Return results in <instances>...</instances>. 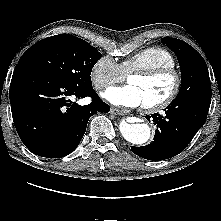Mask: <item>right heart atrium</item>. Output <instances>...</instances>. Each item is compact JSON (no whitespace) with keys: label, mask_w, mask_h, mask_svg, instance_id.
<instances>
[{"label":"right heart atrium","mask_w":221,"mask_h":221,"mask_svg":"<svg viewBox=\"0 0 221 221\" xmlns=\"http://www.w3.org/2000/svg\"><path fill=\"white\" fill-rule=\"evenodd\" d=\"M125 79L120 64L107 55L99 57L90 69V80L96 89H104Z\"/></svg>","instance_id":"obj_1"}]
</instances>
